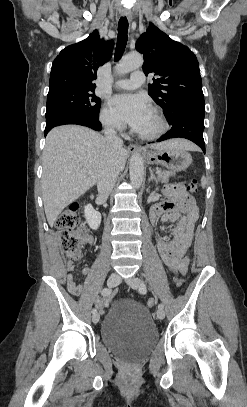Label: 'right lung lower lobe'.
<instances>
[{
  "label": "right lung lower lobe",
  "instance_id": "obj_1",
  "mask_svg": "<svg viewBox=\"0 0 247 407\" xmlns=\"http://www.w3.org/2000/svg\"><path fill=\"white\" fill-rule=\"evenodd\" d=\"M78 124L100 131L102 126L98 118H90L79 114H60L46 119L45 136L55 126Z\"/></svg>",
  "mask_w": 247,
  "mask_h": 407
}]
</instances>
